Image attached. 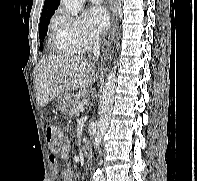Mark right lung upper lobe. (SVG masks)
<instances>
[{
    "label": "right lung upper lobe",
    "instance_id": "1",
    "mask_svg": "<svg viewBox=\"0 0 197 181\" xmlns=\"http://www.w3.org/2000/svg\"><path fill=\"white\" fill-rule=\"evenodd\" d=\"M60 0H45L41 16L53 14L58 8Z\"/></svg>",
    "mask_w": 197,
    "mask_h": 181
}]
</instances>
